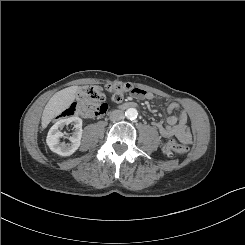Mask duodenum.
Returning <instances> with one entry per match:
<instances>
[{
  "label": "duodenum",
  "mask_w": 245,
  "mask_h": 245,
  "mask_svg": "<svg viewBox=\"0 0 245 245\" xmlns=\"http://www.w3.org/2000/svg\"><path fill=\"white\" fill-rule=\"evenodd\" d=\"M124 108H131V107H136L135 103L128 102L123 105Z\"/></svg>",
  "instance_id": "1"
}]
</instances>
